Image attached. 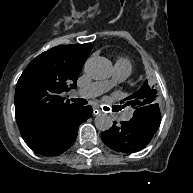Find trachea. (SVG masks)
<instances>
[{"mask_svg": "<svg viewBox=\"0 0 193 193\" xmlns=\"http://www.w3.org/2000/svg\"><path fill=\"white\" fill-rule=\"evenodd\" d=\"M72 102L78 104V105H86L88 102L86 99L83 98H76V99H71ZM104 110L108 111V107H104Z\"/></svg>", "mask_w": 193, "mask_h": 193, "instance_id": "obj_1", "label": "trachea"}]
</instances>
